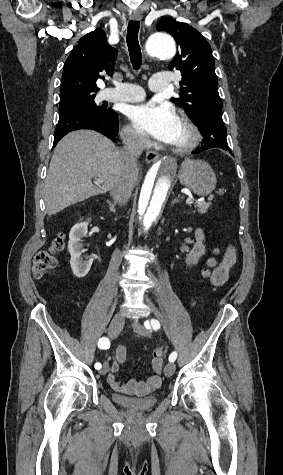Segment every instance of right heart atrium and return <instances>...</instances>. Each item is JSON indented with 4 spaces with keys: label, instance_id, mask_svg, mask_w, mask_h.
I'll list each match as a JSON object with an SVG mask.
<instances>
[{
    "label": "right heart atrium",
    "instance_id": "obj_1",
    "mask_svg": "<svg viewBox=\"0 0 283 475\" xmlns=\"http://www.w3.org/2000/svg\"><path fill=\"white\" fill-rule=\"evenodd\" d=\"M125 148L130 151H142L147 147V139L137 133L130 125H125L121 130Z\"/></svg>",
    "mask_w": 283,
    "mask_h": 475
}]
</instances>
